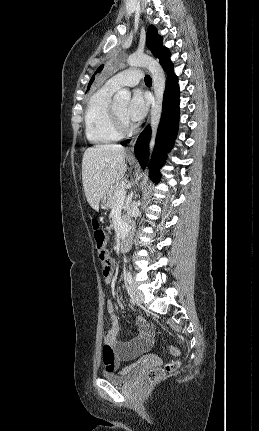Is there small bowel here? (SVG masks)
<instances>
[{
	"instance_id": "obj_1",
	"label": "small bowel",
	"mask_w": 259,
	"mask_h": 431,
	"mask_svg": "<svg viewBox=\"0 0 259 431\" xmlns=\"http://www.w3.org/2000/svg\"><path fill=\"white\" fill-rule=\"evenodd\" d=\"M101 272L102 280L105 283L112 282L113 269L110 266L102 267ZM105 305L111 318V328L105 336V342L111 348L112 356L107 357L103 352V362L106 369H114L120 361L133 359L150 349L153 343L152 330L146 320L138 316L136 318L138 334L130 339H119L120 322L115 313L114 305L111 300H107Z\"/></svg>"
}]
</instances>
